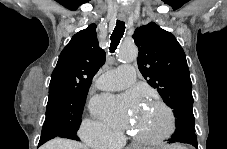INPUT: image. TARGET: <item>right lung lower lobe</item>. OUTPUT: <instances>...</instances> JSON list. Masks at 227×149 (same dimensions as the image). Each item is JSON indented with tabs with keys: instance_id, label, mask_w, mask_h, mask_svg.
I'll list each match as a JSON object with an SVG mask.
<instances>
[{
	"instance_id": "98d812e1",
	"label": "right lung lower lobe",
	"mask_w": 227,
	"mask_h": 149,
	"mask_svg": "<svg viewBox=\"0 0 227 149\" xmlns=\"http://www.w3.org/2000/svg\"><path fill=\"white\" fill-rule=\"evenodd\" d=\"M55 137H62V138H68V139H73V140H79L76 134L68 133V134H63V135H57L55 133H45L41 135L40 141H39V146L44 144L50 139H53Z\"/></svg>"
}]
</instances>
